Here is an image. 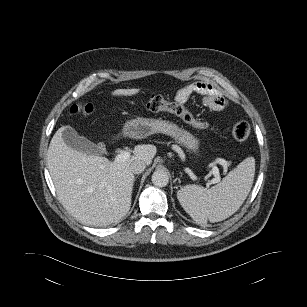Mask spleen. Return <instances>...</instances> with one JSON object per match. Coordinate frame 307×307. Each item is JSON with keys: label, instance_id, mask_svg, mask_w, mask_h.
<instances>
[{"label": "spleen", "instance_id": "obj_1", "mask_svg": "<svg viewBox=\"0 0 307 307\" xmlns=\"http://www.w3.org/2000/svg\"><path fill=\"white\" fill-rule=\"evenodd\" d=\"M254 175L255 159L248 157L214 187L207 189L186 185L177 192V199L197 223L223 221L243 204L251 190Z\"/></svg>", "mask_w": 307, "mask_h": 307}]
</instances>
